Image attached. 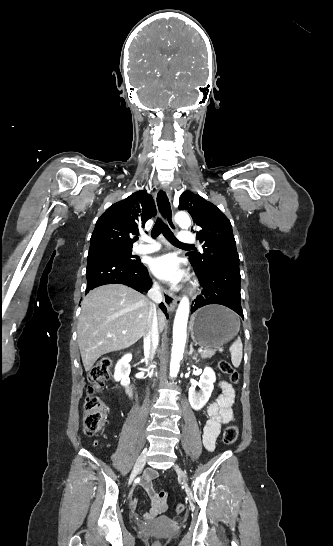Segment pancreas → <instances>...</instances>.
I'll return each mask as SVG.
<instances>
[{
    "instance_id": "obj_1",
    "label": "pancreas",
    "mask_w": 333,
    "mask_h": 546,
    "mask_svg": "<svg viewBox=\"0 0 333 546\" xmlns=\"http://www.w3.org/2000/svg\"><path fill=\"white\" fill-rule=\"evenodd\" d=\"M213 355H215V350L214 349H206L205 352L201 353V357L203 359L211 358Z\"/></svg>"
}]
</instances>
